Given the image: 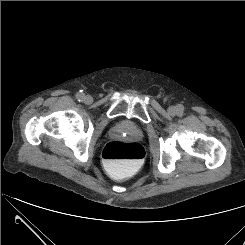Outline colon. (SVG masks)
<instances>
[{"instance_id":"colon-1","label":"colon","mask_w":245,"mask_h":245,"mask_svg":"<svg viewBox=\"0 0 245 245\" xmlns=\"http://www.w3.org/2000/svg\"><path fill=\"white\" fill-rule=\"evenodd\" d=\"M102 156L112 176L121 178L127 170L135 169L142 163L145 151L138 143L112 141L106 144Z\"/></svg>"}]
</instances>
